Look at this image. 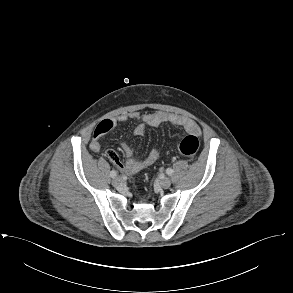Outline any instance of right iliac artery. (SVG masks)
<instances>
[{
	"label": "right iliac artery",
	"mask_w": 293,
	"mask_h": 293,
	"mask_svg": "<svg viewBox=\"0 0 293 293\" xmlns=\"http://www.w3.org/2000/svg\"><path fill=\"white\" fill-rule=\"evenodd\" d=\"M110 176H111L112 178L116 177V176H117V172L114 171V170H112V171L110 172Z\"/></svg>",
	"instance_id": "1"
}]
</instances>
